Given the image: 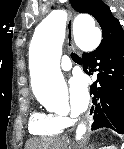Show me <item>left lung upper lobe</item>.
<instances>
[{"mask_svg": "<svg viewBox=\"0 0 124 149\" xmlns=\"http://www.w3.org/2000/svg\"><path fill=\"white\" fill-rule=\"evenodd\" d=\"M72 7L78 12H85L98 21L103 39L97 49L120 44L124 41V30L109 7L102 0H70Z\"/></svg>", "mask_w": 124, "mask_h": 149, "instance_id": "1", "label": "left lung upper lobe"}]
</instances>
